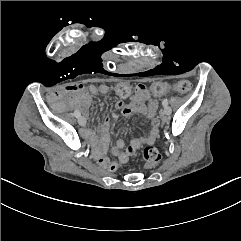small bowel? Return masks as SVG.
I'll return each instance as SVG.
<instances>
[{
	"mask_svg": "<svg viewBox=\"0 0 241 241\" xmlns=\"http://www.w3.org/2000/svg\"><path fill=\"white\" fill-rule=\"evenodd\" d=\"M66 90L75 95V109L83 114L87 113L92 96L109 93L107 84L90 85L87 88L82 84H73L67 87ZM152 95L154 98L161 97L159 94ZM60 96L61 91L59 89L46 93V99L53 104V108L59 114L62 111L57 107L55 99H58ZM130 99V104H125L122 101L118 102L117 108L126 118L130 117L133 113L144 116L149 121V129L145 134L131 139L126 149H124L125 143L123 140H118L115 143L112 147V154L117 156L121 163H126L141 146L153 144L159 135L160 121L156 116L157 104L155 100L151 99V93L148 91V88L142 83L137 84ZM82 136L93 143L95 151L98 154V163L103 167L113 169L110 166L111 161L103 156L110 139L109 119L106 118L103 121L99 137L90 129H83Z\"/></svg>",
	"mask_w": 241,
	"mask_h": 241,
	"instance_id": "c3829d8e",
	"label": "small bowel"
}]
</instances>
